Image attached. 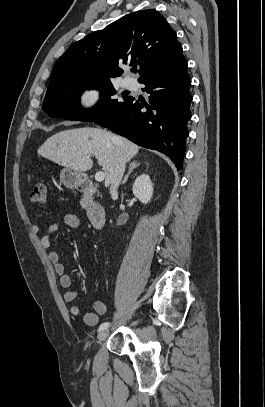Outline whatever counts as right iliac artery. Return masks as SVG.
Returning a JSON list of instances; mask_svg holds the SVG:
<instances>
[{
  "mask_svg": "<svg viewBox=\"0 0 265 407\" xmlns=\"http://www.w3.org/2000/svg\"><path fill=\"white\" fill-rule=\"evenodd\" d=\"M110 323L109 322H104L100 325L99 331L107 329L109 327Z\"/></svg>",
  "mask_w": 265,
  "mask_h": 407,
  "instance_id": "82829eb1",
  "label": "right iliac artery"
}]
</instances>
